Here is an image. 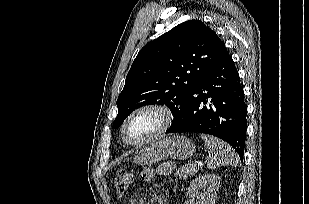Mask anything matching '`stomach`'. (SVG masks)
Listing matches in <instances>:
<instances>
[{
  "label": "stomach",
  "mask_w": 309,
  "mask_h": 204,
  "mask_svg": "<svg viewBox=\"0 0 309 204\" xmlns=\"http://www.w3.org/2000/svg\"><path fill=\"white\" fill-rule=\"evenodd\" d=\"M196 147L185 136H173L151 142L135 155L133 162L153 164L165 159L185 160L193 155Z\"/></svg>",
  "instance_id": "1"
}]
</instances>
